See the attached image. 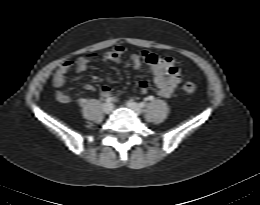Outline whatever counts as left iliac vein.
Instances as JSON below:
<instances>
[{
	"mask_svg": "<svg viewBox=\"0 0 260 205\" xmlns=\"http://www.w3.org/2000/svg\"><path fill=\"white\" fill-rule=\"evenodd\" d=\"M127 107L130 108L131 110H133L137 115H140L142 110L139 104H137L136 102L133 101H128L126 103Z\"/></svg>",
	"mask_w": 260,
	"mask_h": 205,
	"instance_id": "1",
	"label": "left iliac vein"
}]
</instances>
